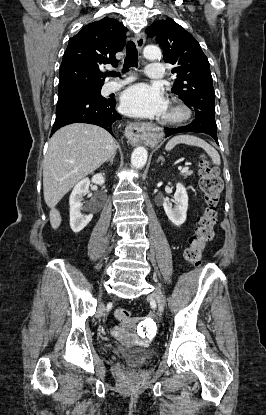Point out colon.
I'll return each instance as SVG.
<instances>
[{"instance_id": "1", "label": "colon", "mask_w": 266, "mask_h": 415, "mask_svg": "<svg viewBox=\"0 0 266 415\" xmlns=\"http://www.w3.org/2000/svg\"><path fill=\"white\" fill-rule=\"evenodd\" d=\"M200 189L203 193L205 207L198 218V226L195 233L189 239V245L185 250L186 260L194 266L201 264L203 250L215 235L214 227L217 221V204L223 189V183L219 177L217 168L203 156L200 161ZM115 317L119 321H127L131 313L125 308H118Z\"/></svg>"}]
</instances>
